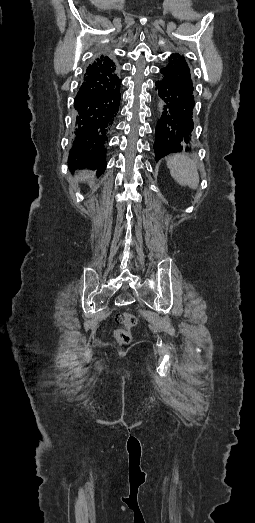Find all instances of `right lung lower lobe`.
<instances>
[{
    "label": "right lung lower lobe",
    "instance_id": "98d812e1",
    "mask_svg": "<svg viewBox=\"0 0 255 523\" xmlns=\"http://www.w3.org/2000/svg\"><path fill=\"white\" fill-rule=\"evenodd\" d=\"M100 107V98L98 96H91L88 100H81L79 102V111L84 113L83 119V136L91 138L94 136L100 127L99 112L97 111ZM83 151L85 153H92L94 151V141L92 139H85L83 141ZM73 169L72 167H70ZM106 166L102 168L104 173Z\"/></svg>",
    "mask_w": 255,
    "mask_h": 523
}]
</instances>
